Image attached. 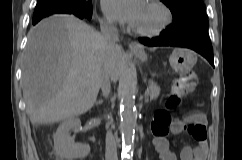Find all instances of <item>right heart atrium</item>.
Segmentation results:
<instances>
[{
    "label": "right heart atrium",
    "instance_id": "d8ad5b80",
    "mask_svg": "<svg viewBox=\"0 0 242 160\" xmlns=\"http://www.w3.org/2000/svg\"><path fill=\"white\" fill-rule=\"evenodd\" d=\"M104 24H105L106 26H112V22H111L110 20H105V21H104Z\"/></svg>",
    "mask_w": 242,
    "mask_h": 160
}]
</instances>
